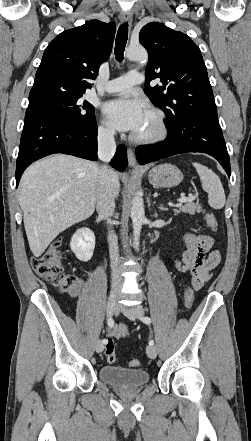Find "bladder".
<instances>
[{
    "label": "bladder",
    "mask_w": 251,
    "mask_h": 441,
    "mask_svg": "<svg viewBox=\"0 0 251 441\" xmlns=\"http://www.w3.org/2000/svg\"><path fill=\"white\" fill-rule=\"evenodd\" d=\"M100 379L116 388L133 389L146 385L150 374L144 369L105 365L99 369Z\"/></svg>",
    "instance_id": "31cf9c89"
}]
</instances>
